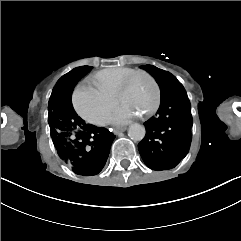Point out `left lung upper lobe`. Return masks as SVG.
Listing matches in <instances>:
<instances>
[{
    "mask_svg": "<svg viewBox=\"0 0 241 241\" xmlns=\"http://www.w3.org/2000/svg\"><path fill=\"white\" fill-rule=\"evenodd\" d=\"M140 68L148 71L156 79L160 86L161 96L173 89L183 88L176 77L167 71L161 70L153 65H142Z\"/></svg>",
    "mask_w": 241,
    "mask_h": 241,
    "instance_id": "left-lung-upper-lobe-1",
    "label": "left lung upper lobe"
}]
</instances>
